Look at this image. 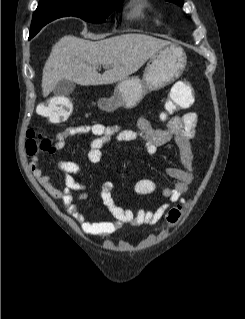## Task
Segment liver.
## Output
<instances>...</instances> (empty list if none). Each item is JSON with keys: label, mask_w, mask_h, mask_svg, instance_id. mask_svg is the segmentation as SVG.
I'll list each match as a JSON object with an SVG mask.
<instances>
[{"label": "liver", "mask_w": 245, "mask_h": 319, "mask_svg": "<svg viewBox=\"0 0 245 319\" xmlns=\"http://www.w3.org/2000/svg\"><path fill=\"white\" fill-rule=\"evenodd\" d=\"M169 44V41L139 33L95 42L72 35L64 36L53 45L44 65L42 94L47 97L62 79L81 86L122 81ZM98 65L107 67L102 75L97 72Z\"/></svg>", "instance_id": "obj_1"}]
</instances>
